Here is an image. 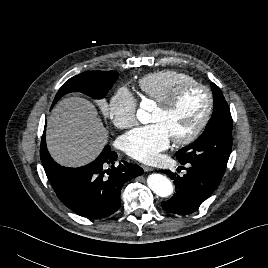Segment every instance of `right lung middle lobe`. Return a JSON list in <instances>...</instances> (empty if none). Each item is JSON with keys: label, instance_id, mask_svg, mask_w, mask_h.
I'll use <instances>...</instances> for the list:
<instances>
[{"label": "right lung middle lobe", "instance_id": "1", "mask_svg": "<svg viewBox=\"0 0 268 268\" xmlns=\"http://www.w3.org/2000/svg\"><path fill=\"white\" fill-rule=\"evenodd\" d=\"M119 74L116 71H87L67 80L59 89L52 107L66 93L82 92L93 99L106 96Z\"/></svg>", "mask_w": 268, "mask_h": 268}]
</instances>
